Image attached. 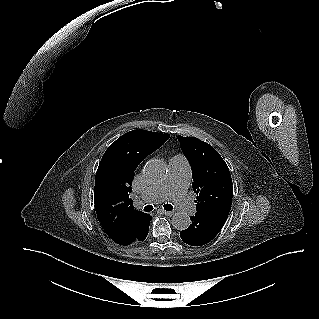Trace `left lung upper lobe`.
<instances>
[{"mask_svg":"<svg viewBox=\"0 0 319 319\" xmlns=\"http://www.w3.org/2000/svg\"><path fill=\"white\" fill-rule=\"evenodd\" d=\"M177 138L192 169L197 213L229 214L233 186L229 168L221 155L211 145L195 137L179 135Z\"/></svg>","mask_w":319,"mask_h":319,"instance_id":"obj_1","label":"left lung upper lobe"}]
</instances>
